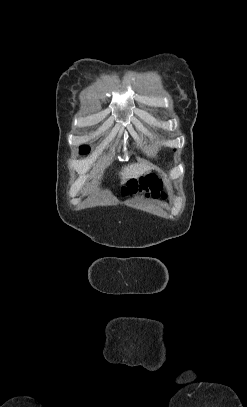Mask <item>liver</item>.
Here are the masks:
<instances>
[{
	"label": "liver",
	"instance_id": "1",
	"mask_svg": "<svg viewBox=\"0 0 247 407\" xmlns=\"http://www.w3.org/2000/svg\"><path fill=\"white\" fill-rule=\"evenodd\" d=\"M150 167L144 163H133L124 166L120 172L122 183L131 178H137L148 171Z\"/></svg>",
	"mask_w": 247,
	"mask_h": 407
}]
</instances>
